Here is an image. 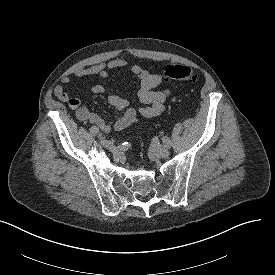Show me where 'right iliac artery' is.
Returning <instances> with one entry per match:
<instances>
[{"instance_id": "82829eb1", "label": "right iliac artery", "mask_w": 275, "mask_h": 275, "mask_svg": "<svg viewBox=\"0 0 275 275\" xmlns=\"http://www.w3.org/2000/svg\"><path fill=\"white\" fill-rule=\"evenodd\" d=\"M90 133L95 136L99 133V129L96 126H92L90 128Z\"/></svg>"}]
</instances>
